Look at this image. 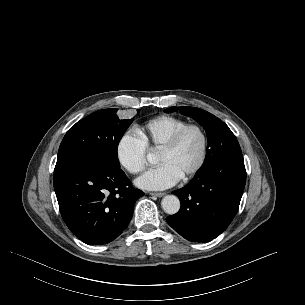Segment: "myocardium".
Masks as SVG:
<instances>
[{
	"label": "myocardium",
	"instance_id": "obj_1",
	"mask_svg": "<svg viewBox=\"0 0 305 305\" xmlns=\"http://www.w3.org/2000/svg\"><path fill=\"white\" fill-rule=\"evenodd\" d=\"M190 130H196L200 134L202 138V151L198 163L187 174L182 176L183 179H190L194 177L203 169L206 164L209 152V139L206 130L198 124H187L181 129H179L177 132H175L171 136V138L159 149V152L171 151L175 149L184 137V135Z\"/></svg>",
	"mask_w": 305,
	"mask_h": 305
}]
</instances>
